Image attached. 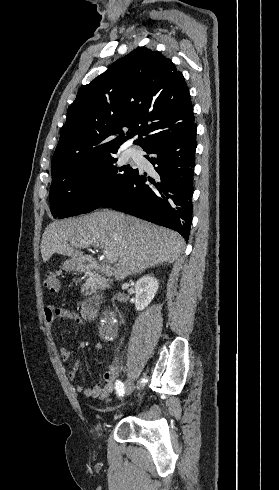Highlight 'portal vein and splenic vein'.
<instances>
[{
	"instance_id": "obj_1",
	"label": "portal vein and splenic vein",
	"mask_w": 279,
	"mask_h": 490,
	"mask_svg": "<svg viewBox=\"0 0 279 490\" xmlns=\"http://www.w3.org/2000/svg\"><path fill=\"white\" fill-rule=\"evenodd\" d=\"M86 246H88V248H90V246H92V244H86ZM105 258H106V260H108V262H110V264H113V262H116V260H117L116 256H114V254H112V252H105Z\"/></svg>"
}]
</instances>
